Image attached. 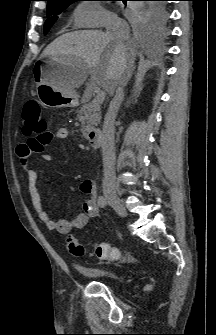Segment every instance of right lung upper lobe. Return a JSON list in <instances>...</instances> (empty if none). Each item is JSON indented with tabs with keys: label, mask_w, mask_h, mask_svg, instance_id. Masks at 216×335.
Segmentation results:
<instances>
[{
	"label": "right lung upper lobe",
	"mask_w": 216,
	"mask_h": 335,
	"mask_svg": "<svg viewBox=\"0 0 216 335\" xmlns=\"http://www.w3.org/2000/svg\"><path fill=\"white\" fill-rule=\"evenodd\" d=\"M46 1H48V5H49V4L58 3V2L76 1V0H46Z\"/></svg>",
	"instance_id": "cb5924a9"
}]
</instances>
